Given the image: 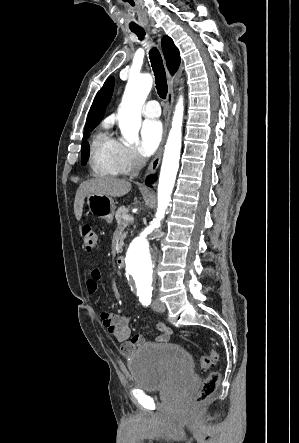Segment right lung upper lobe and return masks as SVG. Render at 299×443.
<instances>
[{
	"mask_svg": "<svg viewBox=\"0 0 299 443\" xmlns=\"http://www.w3.org/2000/svg\"><path fill=\"white\" fill-rule=\"evenodd\" d=\"M162 48L166 58L167 67L171 74H174L180 64V55L177 47L174 45L172 39L168 36L162 38ZM114 88V78L110 77L106 80L103 87L95 96V99L90 108L86 126L98 125L105 113V108L110 101Z\"/></svg>",
	"mask_w": 299,
	"mask_h": 443,
	"instance_id": "cb5924a9",
	"label": "right lung upper lobe"
}]
</instances>
